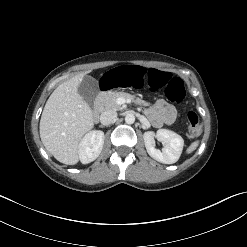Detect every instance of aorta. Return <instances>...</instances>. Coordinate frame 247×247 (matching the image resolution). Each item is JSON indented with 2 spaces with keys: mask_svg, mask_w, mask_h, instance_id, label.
<instances>
[{
  "mask_svg": "<svg viewBox=\"0 0 247 247\" xmlns=\"http://www.w3.org/2000/svg\"><path fill=\"white\" fill-rule=\"evenodd\" d=\"M125 122L127 124H133L135 122V116H134V114H132V113L126 114V116H125Z\"/></svg>",
  "mask_w": 247,
  "mask_h": 247,
  "instance_id": "762f6f07",
  "label": "aorta"
}]
</instances>
